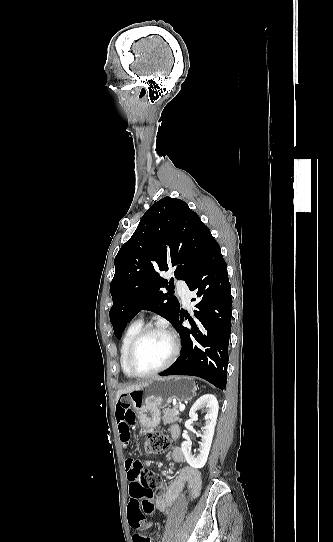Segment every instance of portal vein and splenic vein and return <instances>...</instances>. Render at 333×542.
<instances>
[{
    "mask_svg": "<svg viewBox=\"0 0 333 542\" xmlns=\"http://www.w3.org/2000/svg\"><path fill=\"white\" fill-rule=\"evenodd\" d=\"M179 410L180 412H183V410H185V406H180Z\"/></svg>",
    "mask_w": 333,
    "mask_h": 542,
    "instance_id": "18ae733b",
    "label": "portal vein and splenic vein"
}]
</instances>
